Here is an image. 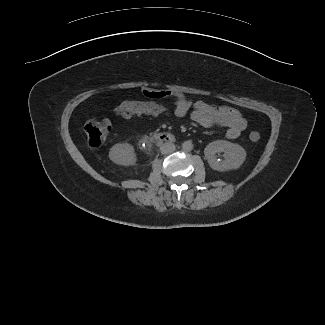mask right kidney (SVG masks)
Instances as JSON below:
<instances>
[{"label": "right kidney", "mask_w": 325, "mask_h": 325, "mask_svg": "<svg viewBox=\"0 0 325 325\" xmlns=\"http://www.w3.org/2000/svg\"><path fill=\"white\" fill-rule=\"evenodd\" d=\"M134 147L128 143L115 144L109 152V158L116 164L129 166L136 161Z\"/></svg>", "instance_id": "obj_1"}]
</instances>
